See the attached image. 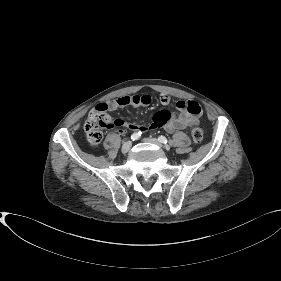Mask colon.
Listing matches in <instances>:
<instances>
[{
	"label": "colon",
	"instance_id": "1",
	"mask_svg": "<svg viewBox=\"0 0 281 281\" xmlns=\"http://www.w3.org/2000/svg\"><path fill=\"white\" fill-rule=\"evenodd\" d=\"M115 120L104 109L95 108L90 111L84 125L88 142L97 145L103 139L104 131L115 127ZM191 136L194 143L199 144L204 139L202 128L194 126L191 129Z\"/></svg>",
	"mask_w": 281,
	"mask_h": 281
}]
</instances>
